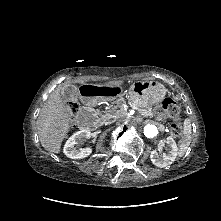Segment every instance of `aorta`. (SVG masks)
Instances as JSON below:
<instances>
[{
  "label": "aorta",
  "instance_id": "obj_1",
  "mask_svg": "<svg viewBox=\"0 0 221 221\" xmlns=\"http://www.w3.org/2000/svg\"><path fill=\"white\" fill-rule=\"evenodd\" d=\"M158 134V128L153 124H147L144 127V135L148 138H153Z\"/></svg>",
  "mask_w": 221,
  "mask_h": 221
}]
</instances>
